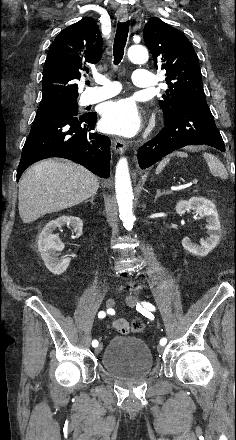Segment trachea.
Masks as SVG:
<instances>
[{"label":"trachea","instance_id":"3493384b","mask_svg":"<svg viewBox=\"0 0 236 440\" xmlns=\"http://www.w3.org/2000/svg\"><path fill=\"white\" fill-rule=\"evenodd\" d=\"M129 24L130 22L128 20L126 22H120L117 25V31L113 45V55H114L115 65H118L123 58L124 48L128 37Z\"/></svg>","mask_w":236,"mask_h":440}]
</instances>
